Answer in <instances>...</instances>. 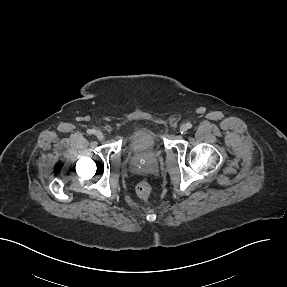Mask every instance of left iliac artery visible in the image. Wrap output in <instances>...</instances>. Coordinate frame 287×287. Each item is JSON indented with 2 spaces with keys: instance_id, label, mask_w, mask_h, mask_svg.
I'll return each instance as SVG.
<instances>
[{
  "instance_id": "obj_1",
  "label": "left iliac artery",
  "mask_w": 287,
  "mask_h": 287,
  "mask_svg": "<svg viewBox=\"0 0 287 287\" xmlns=\"http://www.w3.org/2000/svg\"><path fill=\"white\" fill-rule=\"evenodd\" d=\"M186 125H187L188 129L192 128V124L191 123H187Z\"/></svg>"
}]
</instances>
